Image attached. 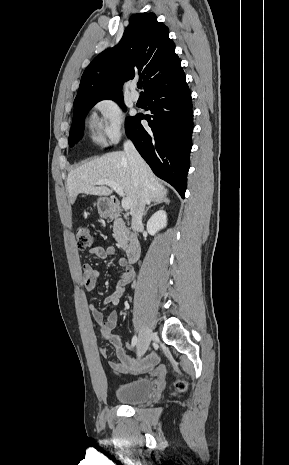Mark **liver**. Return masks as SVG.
<instances>
[{"instance_id": "obj_1", "label": "liver", "mask_w": 289, "mask_h": 465, "mask_svg": "<svg viewBox=\"0 0 289 465\" xmlns=\"http://www.w3.org/2000/svg\"><path fill=\"white\" fill-rule=\"evenodd\" d=\"M140 179L143 180V185L147 190L148 203L166 197L167 189L159 183L150 167L145 163L140 174L135 173L123 151L107 153L73 169L68 174L66 187L70 202L74 204L80 193L97 196L111 195L110 188L104 185L95 186V183L99 180L113 181L122 188L124 195L131 199L130 211L133 214L139 205Z\"/></svg>"}]
</instances>
